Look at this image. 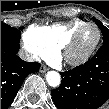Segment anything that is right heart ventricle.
I'll use <instances>...</instances> for the list:
<instances>
[{"instance_id": "right-heart-ventricle-1", "label": "right heart ventricle", "mask_w": 109, "mask_h": 109, "mask_svg": "<svg viewBox=\"0 0 109 109\" xmlns=\"http://www.w3.org/2000/svg\"><path fill=\"white\" fill-rule=\"evenodd\" d=\"M86 21L74 19L65 23H56L50 26H32L24 34L25 37L46 43L54 51H58L70 35Z\"/></svg>"}]
</instances>
